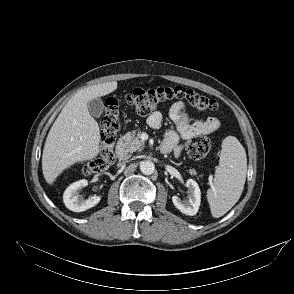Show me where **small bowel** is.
Segmentation results:
<instances>
[{"instance_id": "obj_1", "label": "small bowel", "mask_w": 294, "mask_h": 294, "mask_svg": "<svg viewBox=\"0 0 294 294\" xmlns=\"http://www.w3.org/2000/svg\"><path fill=\"white\" fill-rule=\"evenodd\" d=\"M169 116L175 128L166 132L161 148L164 152L173 151L176 157L180 156L183 149L182 145L179 144L180 139L189 140L199 135H207L220 127V121L215 117L191 122L185 111L184 103L181 101L171 105ZM162 120V113L156 111L148 117L147 122L150 127L158 129L161 127Z\"/></svg>"}]
</instances>
